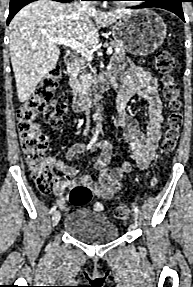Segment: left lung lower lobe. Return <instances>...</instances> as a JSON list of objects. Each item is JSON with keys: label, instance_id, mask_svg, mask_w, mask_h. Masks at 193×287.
<instances>
[{"label": "left lung lower lobe", "instance_id": "obj_1", "mask_svg": "<svg viewBox=\"0 0 193 287\" xmlns=\"http://www.w3.org/2000/svg\"><path fill=\"white\" fill-rule=\"evenodd\" d=\"M142 1H144V3H142L139 6H136L135 8H150V7L163 8L175 13L183 21H185L181 3L186 2L187 0H142Z\"/></svg>", "mask_w": 193, "mask_h": 287}]
</instances>
